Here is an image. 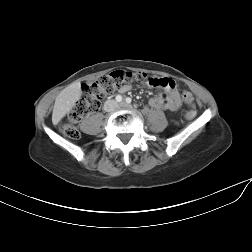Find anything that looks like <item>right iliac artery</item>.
Returning a JSON list of instances; mask_svg holds the SVG:
<instances>
[{
    "mask_svg": "<svg viewBox=\"0 0 252 252\" xmlns=\"http://www.w3.org/2000/svg\"><path fill=\"white\" fill-rule=\"evenodd\" d=\"M116 101H117V102H121V101H122V97H121L120 95H117V96H116Z\"/></svg>",
    "mask_w": 252,
    "mask_h": 252,
    "instance_id": "1",
    "label": "right iliac artery"
}]
</instances>
